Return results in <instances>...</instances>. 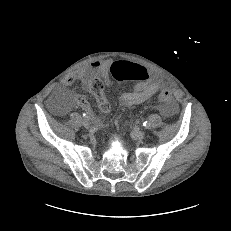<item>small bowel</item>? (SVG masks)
<instances>
[{
    "label": "small bowel",
    "instance_id": "small-bowel-1",
    "mask_svg": "<svg viewBox=\"0 0 231 231\" xmlns=\"http://www.w3.org/2000/svg\"><path fill=\"white\" fill-rule=\"evenodd\" d=\"M112 62L110 60H97L93 61L89 66L80 69L74 74L66 76L62 80L63 86H71L76 81H80L84 88L90 90L91 83L94 79L99 78L108 87H113V82L110 78V67ZM163 86V81L156 75L147 73V78L139 80L132 91L123 92L119 96V102L123 106H132L141 104L148 99L152 98L158 90ZM98 102L97 96H95ZM75 104L83 110L90 112L88 101L81 95H75ZM176 112V105L174 103L162 109V113L170 117ZM98 123V120H96Z\"/></svg>",
    "mask_w": 231,
    "mask_h": 231
}]
</instances>
